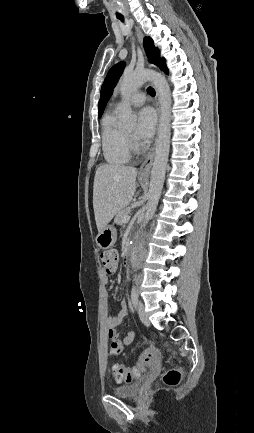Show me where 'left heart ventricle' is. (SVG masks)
<instances>
[{"instance_id":"1","label":"left heart ventricle","mask_w":254,"mask_h":433,"mask_svg":"<svg viewBox=\"0 0 254 433\" xmlns=\"http://www.w3.org/2000/svg\"><path fill=\"white\" fill-rule=\"evenodd\" d=\"M131 131H132L131 129L127 130V132H129V133H130Z\"/></svg>"}]
</instances>
